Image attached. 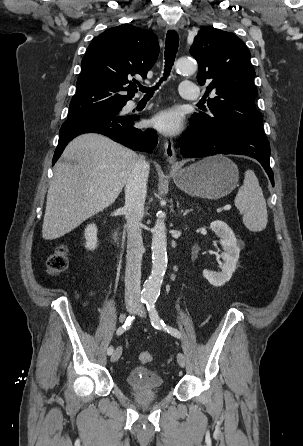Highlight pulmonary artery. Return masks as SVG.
<instances>
[{"label":"pulmonary artery","mask_w":303,"mask_h":446,"mask_svg":"<svg viewBox=\"0 0 303 446\" xmlns=\"http://www.w3.org/2000/svg\"><path fill=\"white\" fill-rule=\"evenodd\" d=\"M180 94L186 100H197L199 98V88L190 81H183L180 85Z\"/></svg>","instance_id":"1"}]
</instances>
